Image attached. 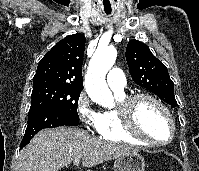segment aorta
<instances>
[{
  "instance_id": "obj_1",
  "label": "aorta",
  "mask_w": 199,
  "mask_h": 171,
  "mask_svg": "<svg viewBox=\"0 0 199 171\" xmlns=\"http://www.w3.org/2000/svg\"><path fill=\"white\" fill-rule=\"evenodd\" d=\"M117 51L113 47H98L92 56L85 87L89 97L103 107H112L114 98L106 84V74L115 63Z\"/></svg>"
}]
</instances>
